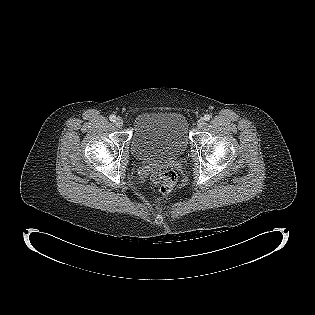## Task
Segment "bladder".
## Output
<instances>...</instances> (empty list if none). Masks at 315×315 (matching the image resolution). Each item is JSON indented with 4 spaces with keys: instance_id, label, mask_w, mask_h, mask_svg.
<instances>
[{
    "instance_id": "31cf9c89",
    "label": "bladder",
    "mask_w": 315,
    "mask_h": 315,
    "mask_svg": "<svg viewBox=\"0 0 315 315\" xmlns=\"http://www.w3.org/2000/svg\"><path fill=\"white\" fill-rule=\"evenodd\" d=\"M130 143L133 156L142 162L174 160L187 149L188 121L178 111L140 113L134 119Z\"/></svg>"
}]
</instances>
